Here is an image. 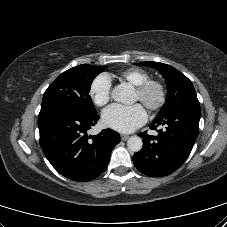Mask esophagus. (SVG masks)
<instances>
[{"mask_svg": "<svg viewBox=\"0 0 227 227\" xmlns=\"http://www.w3.org/2000/svg\"><path fill=\"white\" fill-rule=\"evenodd\" d=\"M129 138V135L122 134L121 135V140L126 141Z\"/></svg>", "mask_w": 227, "mask_h": 227, "instance_id": "obj_1", "label": "esophagus"}]
</instances>
